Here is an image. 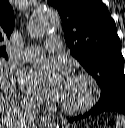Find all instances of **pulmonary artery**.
<instances>
[{
    "label": "pulmonary artery",
    "mask_w": 125,
    "mask_h": 128,
    "mask_svg": "<svg viewBox=\"0 0 125 128\" xmlns=\"http://www.w3.org/2000/svg\"><path fill=\"white\" fill-rule=\"evenodd\" d=\"M60 50V38L58 36H50L45 42V49L38 46L27 47L19 54V58L24 62L38 61L43 58L45 51L59 53Z\"/></svg>",
    "instance_id": "obj_1"
}]
</instances>
